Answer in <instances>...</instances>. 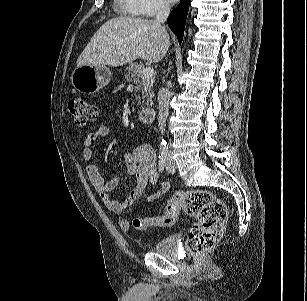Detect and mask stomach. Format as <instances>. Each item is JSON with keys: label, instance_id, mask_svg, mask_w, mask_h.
Wrapping results in <instances>:
<instances>
[{"label": "stomach", "instance_id": "1", "mask_svg": "<svg viewBox=\"0 0 307 301\" xmlns=\"http://www.w3.org/2000/svg\"><path fill=\"white\" fill-rule=\"evenodd\" d=\"M111 79V71L105 65H82L72 75L73 87L84 94H94L106 86Z\"/></svg>", "mask_w": 307, "mask_h": 301}]
</instances>
